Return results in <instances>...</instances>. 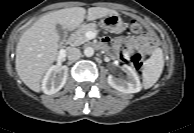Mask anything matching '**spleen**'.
I'll list each match as a JSON object with an SVG mask.
<instances>
[{"mask_svg": "<svg viewBox=\"0 0 194 133\" xmlns=\"http://www.w3.org/2000/svg\"><path fill=\"white\" fill-rule=\"evenodd\" d=\"M164 67L163 52L161 48H157L151 57L145 61L143 68V87L149 89L160 78Z\"/></svg>", "mask_w": 194, "mask_h": 133, "instance_id": "obj_1", "label": "spleen"}]
</instances>
